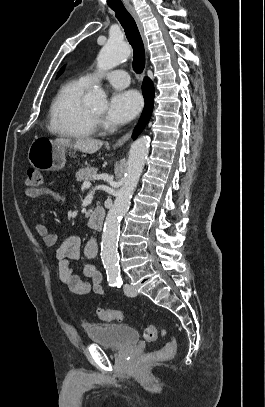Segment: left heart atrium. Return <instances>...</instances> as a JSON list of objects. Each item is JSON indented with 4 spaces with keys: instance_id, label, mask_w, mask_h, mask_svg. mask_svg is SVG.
Listing matches in <instances>:
<instances>
[{
    "instance_id": "1",
    "label": "left heart atrium",
    "mask_w": 265,
    "mask_h": 407,
    "mask_svg": "<svg viewBox=\"0 0 265 407\" xmlns=\"http://www.w3.org/2000/svg\"><path fill=\"white\" fill-rule=\"evenodd\" d=\"M140 95L132 90L115 92L108 103L106 118L114 124H124L132 120L141 110Z\"/></svg>"
}]
</instances>
